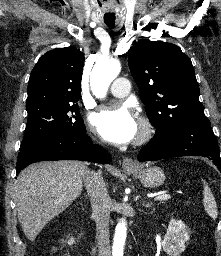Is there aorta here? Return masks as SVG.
I'll return each mask as SVG.
<instances>
[{"label":"aorta","instance_id":"762f6f07","mask_svg":"<svg viewBox=\"0 0 221 256\" xmlns=\"http://www.w3.org/2000/svg\"><path fill=\"white\" fill-rule=\"evenodd\" d=\"M121 65L118 60H99L90 77V87L97 98H104L111 82L119 75ZM126 221L122 219L116 226L113 243V256H123L126 239Z\"/></svg>","mask_w":221,"mask_h":256}]
</instances>
